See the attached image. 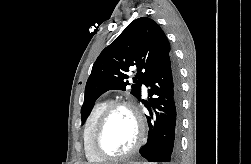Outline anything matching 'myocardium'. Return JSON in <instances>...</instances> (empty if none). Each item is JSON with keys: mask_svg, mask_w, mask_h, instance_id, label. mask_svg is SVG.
Returning a JSON list of instances; mask_svg holds the SVG:
<instances>
[{"mask_svg": "<svg viewBox=\"0 0 251 164\" xmlns=\"http://www.w3.org/2000/svg\"><path fill=\"white\" fill-rule=\"evenodd\" d=\"M118 108H126L132 113L137 124L138 134L134 145L128 151L121 154L113 155L106 153L100 147V138L109 117ZM144 139H145V123L136 106L130 101L117 100L109 103L102 112V114L100 115V117L98 118L92 133L91 148L93 153L100 159L104 161H116L130 157L135 152H137L141 147V145L143 144Z\"/></svg>", "mask_w": 251, "mask_h": 164, "instance_id": "1", "label": "myocardium"}]
</instances>
